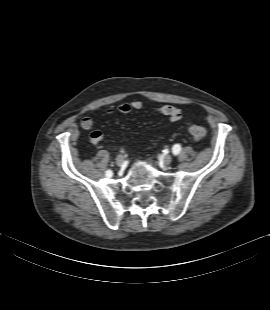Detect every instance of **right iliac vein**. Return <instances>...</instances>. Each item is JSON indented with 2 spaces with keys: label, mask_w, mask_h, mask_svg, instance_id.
Returning a JSON list of instances; mask_svg holds the SVG:
<instances>
[{
  "label": "right iliac vein",
  "mask_w": 270,
  "mask_h": 310,
  "mask_svg": "<svg viewBox=\"0 0 270 310\" xmlns=\"http://www.w3.org/2000/svg\"><path fill=\"white\" fill-rule=\"evenodd\" d=\"M124 156L123 155H118L116 158V163L117 165L121 166L124 163Z\"/></svg>",
  "instance_id": "right-iliac-vein-1"
}]
</instances>
